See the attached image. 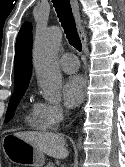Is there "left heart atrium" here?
<instances>
[{
    "mask_svg": "<svg viewBox=\"0 0 125 167\" xmlns=\"http://www.w3.org/2000/svg\"><path fill=\"white\" fill-rule=\"evenodd\" d=\"M86 90V83L82 76L72 75L66 79L63 84V98L65 104L70 107H76L82 101Z\"/></svg>",
    "mask_w": 125,
    "mask_h": 167,
    "instance_id": "obj_1",
    "label": "left heart atrium"
}]
</instances>
